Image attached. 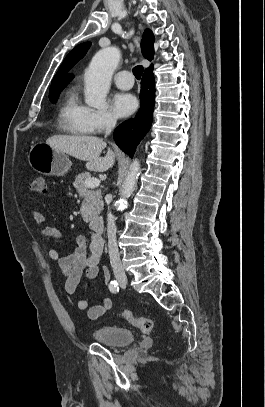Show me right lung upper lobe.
Instances as JSON below:
<instances>
[{"mask_svg":"<svg viewBox=\"0 0 265 407\" xmlns=\"http://www.w3.org/2000/svg\"><path fill=\"white\" fill-rule=\"evenodd\" d=\"M153 43V33L148 29L145 30L141 42V50L143 56L148 60H152L154 55ZM90 46L91 42H85L76 46L72 51H70V53L67 55L62 65L60 66L58 72L54 76L51 86L69 83L74 78L73 75H68L67 73L78 61H80L85 56Z\"/></svg>","mask_w":265,"mask_h":407,"instance_id":"cb5924a9","label":"right lung upper lobe"}]
</instances>
